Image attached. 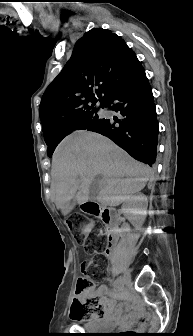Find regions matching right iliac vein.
I'll return each instance as SVG.
<instances>
[{
    "label": "right iliac vein",
    "mask_w": 193,
    "mask_h": 336,
    "mask_svg": "<svg viewBox=\"0 0 193 336\" xmlns=\"http://www.w3.org/2000/svg\"><path fill=\"white\" fill-rule=\"evenodd\" d=\"M131 282V276L129 271H126L124 275L122 276L121 283L119 288L121 289L122 287L128 286Z\"/></svg>",
    "instance_id": "right-iliac-vein-1"
}]
</instances>
